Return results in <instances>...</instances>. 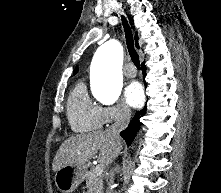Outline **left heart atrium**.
I'll list each match as a JSON object with an SVG mask.
<instances>
[{
  "label": "left heart atrium",
  "instance_id": "left-heart-atrium-1",
  "mask_svg": "<svg viewBox=\"0 0 221 193\" xmlns=\"http://www.w3.org/2000/svg\"><path fill=\"white\" fill-rule=\"evenodd\" d=\"M125 102L132 107H139L143 102L142 87L137 82H131L124 91Z\"/></svg>",
  "mask_w": 221,
  "mask_h": 193
}]
</instances>
